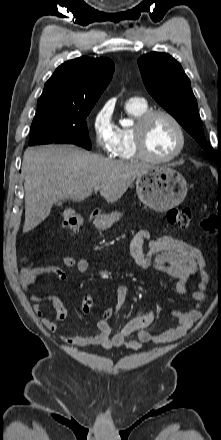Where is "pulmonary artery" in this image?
I'll list each match as a JSON object with an SVG mask.
<instances>
[{
  "label": "pulmonary artery",
  "instance_id": "pulmonary-artery-1",
  "mask_svg": "<svg viewBox=\"0 0 221 440\" xmlns=\"http://www.w3.org/2000/svg\"><path fill=\"white\" fill-rule=\"evenodd\" d=\"M131 100H141L142 101L143 99L135 97V98H132Z\"/></svg>",
  "mask_w": 221,
  "mask_h": 440
}]
</instances>
